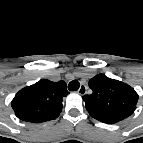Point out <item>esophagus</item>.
I'll return each mask as SVG.
<instances>
[{
  "instance_id": "esophagus-1",
  "label": "esophagus",
  "mask_w": 143,
  "mask_h": 143,
  "mask_svg": "<svg viewBox=\"0 0 143 143\" xmlns=\"http://www.w3.org/2000/svg\"><path fill=\"white\" fill-rule=\"evenodd\" d=\"M86 90H87L86 85L81 84L80 87H79V89H78V93L81 94V95H83V94L86 93Z\"/></svg>"
}]
</instances>
